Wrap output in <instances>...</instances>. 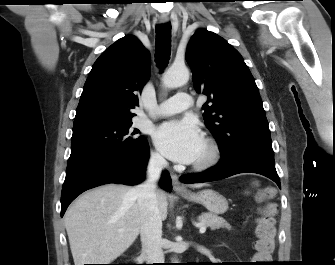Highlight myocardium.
<instances>
[{"mask_svg": "<svg viewBox=\"0 0 335 265\" xmlns=\"http://www.w3.org/2000/svg\"><path fill=\"white\" fill-rule=\"evenodd\" d=\"M204 143L207 146L208 154L207 156L192 165L193 170L198 172L207 171L213 168L221 159L222 151L219 143L212 137H207L204 139Z\"/></svg>", "mask_w": 335, "mask_h": 265, "instance_id": "1", "label": "myocardium"}]
</instances>
